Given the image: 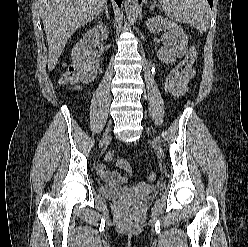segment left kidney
Wrapping results in <instances>:
<instances>
[{"mask_svg": "<svg viewBox=\"0 0 248 247\" xmlns=\"http://www.w3.org/2000/svg\"><path fill=\"white\" fill-rule=\"evenodd\" d=\"M146 25L149 31L154 34L168 30L169 44L157 53V57L163 63L172 64L177 58H182L187 53L188 37L181 26L160 16L149 18Z\"/></svg>", "mask_w": 248, "mask_h": 247, "instance_id": "obj_1", "label": "left kidney"}]
</instances>
